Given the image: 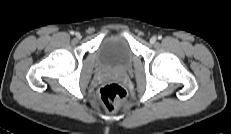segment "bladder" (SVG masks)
Here are the masks:
<instances>
[{"instance_id": "obj_1", "label": "bladder", "mask_w": 231, "mask_h": 134, "mask_svg": "<svg viewBox=\"0 0 231 134\" xmlns=\"http://www.w3.org/2000/svg\"><path fill=\"white\" fill-rule=\"evenodd\" d=\"M98 62L105 69L124 71L131 67L134 53L126 37L111 35L103 39L98 51Z\"/></svg>"}]
</instances>
